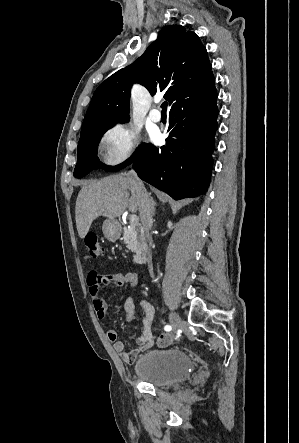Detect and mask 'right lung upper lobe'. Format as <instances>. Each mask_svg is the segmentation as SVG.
I'll use <instances>...</instances> for the list:
<instances>
[{
    "instance_id": "1",
    "label": "right lung upper lobe",
    "mask_w": 299,
    "mask_h": 443,
    "mask_svg": "<svg viewBox=\"0 0 299 443\" xmlns=\"http://www.w3.org/2000/svg\"><path fill=\"white\" fill-rule=\"evenodd\" d=\"M208 54L194 32L181 25L163 28L158 38L131 65L107 78L95 91L80 137L97 128L127 121L130 90L140 83L151 95L166 90L171 105L211 74Z\"/></svg>"
}]
</instances>
